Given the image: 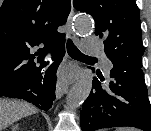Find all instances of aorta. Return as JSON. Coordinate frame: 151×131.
Masks as SVG:
<instances>
[{
    "label": "aorta",
    "instance_id": "762f6f07",
    "mask_svg": "<svg viewBox=\"0 0 151 131\" xmlns=\"http://www.w3.org/2000/svg\"><path fill=\"white\" fill-rule=\"evenodd\" d=\"M74 27L77 33L89 34L93 30V23L89 16L80 15L74 22ZM92 85L88 80H82L73 85L70 89L66 104L69 109L78 108L89 96Z\"/></svg>",
    "mask_w": 151,
    "mask_h": 131
}]
</instances>
